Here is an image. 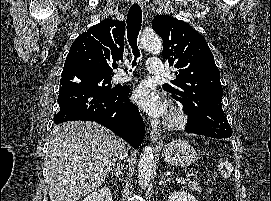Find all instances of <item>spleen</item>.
Listing matches in <instances>:
<instances>
[{"mask_svg":"<svg viewBox=\"0 0 271 201\" xmlns=\"http://www.w3.org/2000/svg\"><path fill=\"white\" fill-rule=\"evenodd\" d=\"M219 171L225 178H229L232 173V164L228 161L220 160L218 164Z\"/></svg>","mask_w":271,"mask_h":201,"instance_id":"1","label":"spleen"}]
</instances>
